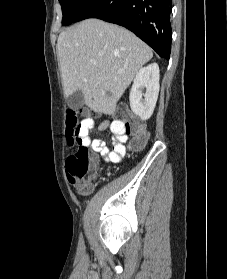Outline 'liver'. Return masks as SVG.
Returning a JSON list of instances; mask_svg holds the SVG:
<instances>
[{
    "mask_svg": "<svg viewBox=\"0 0 227 279\" xmlns=\"http://www.w3.org/2000/svg\"><path fill=\"white\" fill-rule=\"evenodd\" d=\"M57 52L65 96L81 91L86 106L105 115L115 112L138 70L153 56L132 32L99 19L61 32Z\"/></svg>",
    "mask_w": 227,
    "mask_h": 279,
    "instance_id": "6515ba94",
    "label": "liver"
}]
</instances>
